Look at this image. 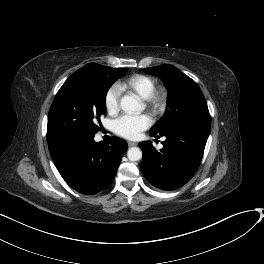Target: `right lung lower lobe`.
Instances as JSON below:
<instances>
[{"label": "right lung lower lobe", "mask_w": 264, "mask_h": 264, "mask_svg": "<svg viewBox=\"0 0 264 264\" xmlns=\"http://www.w3.org/2000/svg\"><path fill=\"white\" fill-rule=\"evenodd\" d=\"M62 178L79 193L92 195L107 188L114 180L127 143L112 137L107 143L94 137L71 138L48 145Z\"/></svg>", "instance_id": "1"}]
</instances>
